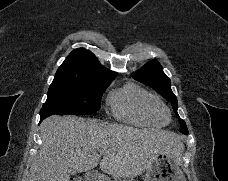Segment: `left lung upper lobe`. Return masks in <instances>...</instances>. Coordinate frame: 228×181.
Here are the masks:
<instances>
[{"label": "left lung upper lobe", "mask_w": 228, "mask_h": 181, "mask_svg": "<svg viewBox=\"0 0 228 181\" xmlns=\"http://www.w3.org/2000/svg\"><path fill=\"white\" fill-rule=\"evenodd\" d=\"M132 77L143 84L152 87L156 92L162 94L171 102L174 111L177 114L178 103L176 96L173 94L170 85V79L164 74L160 63L152 60L145 64L140 70L132 73ZM179 131L185 135L188 134L186 123L180 120Z\"/></svg>", "instance_id": "obj_1"}]
</instances>
